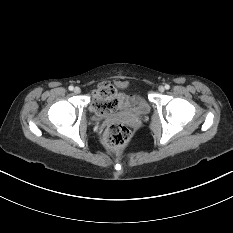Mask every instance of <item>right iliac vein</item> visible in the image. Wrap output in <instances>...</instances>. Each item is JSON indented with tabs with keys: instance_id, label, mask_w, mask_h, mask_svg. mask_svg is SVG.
Returning <instances> with one entry per match:
<instances>
[{
	"instance_id": "63e3f726",
	"label": "right iliac vein",
	"mask_w": 233,
	"mask_h": 233,
	"mask_svg": "<svg viewBox=\"0 0 233 233\" xmlns=\"http://www.w3.org/2000/svg\"><path fill=\"white\" fill-rule=\"evenodd\" d=\"M81 92V89L79 87L74 88V93L79 94Z\"/></svg>"
}]
</instances>
